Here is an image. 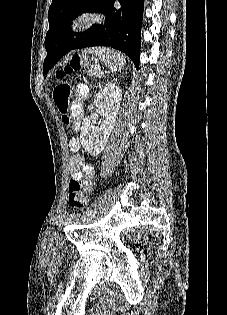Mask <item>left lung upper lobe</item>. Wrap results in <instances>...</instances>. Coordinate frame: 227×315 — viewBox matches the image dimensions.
<instances>
[{
  "label": "left lung upper lobe",
  "mask_w": 227,
  "mask_h": 315,
  "mask_svg": "<svg viewBox=\"0 0 227 315\" xmlns=\"http://www.w3.org/2000/svg\"><path fill=\"white\" fill-rule=\"evenodd\" d=\"M108 0H52L48 12L49 31L47 32L45 43L51 38L63 39L67 45H74L83 38L73 39L70 34L71 21L78 15L85 12L101 13ZM91 29L83 34L87 35ZM82 35V34H81ZM43 74H46L43 69Z\"/></svg>",
  "instance_id": "left-lung-upper-lobe-1"
}]
</instances>
